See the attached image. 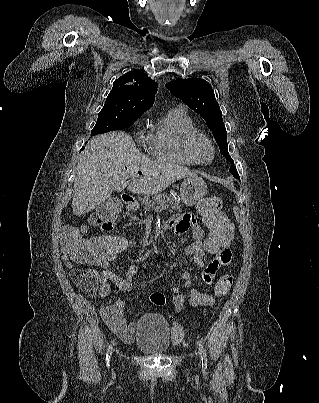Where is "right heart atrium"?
Here are the masks:
<instances>
[{
  "instance_id": "d8ad5b80",
  "label": "right heart atrium",
  "mask_w": 319,
  "mask_h": 403,
  "mask_svg": "<svg viewBox=\"0 0 319 403\" xmlns=\"http://www.w3.org/2000/svg\"><path fill=\"white\" fill-rule=\"evenodd\" d=\"M138 140H139L140 143H143V142H144V140H142V139H138Z\"/></svg>"
}]
</instances>
